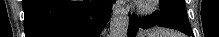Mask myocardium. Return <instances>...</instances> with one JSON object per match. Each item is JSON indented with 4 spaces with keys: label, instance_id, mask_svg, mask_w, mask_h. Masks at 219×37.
Masks as SVG:
<instances>
[{
    "label": "myocardium",
    "instance_id": "1",
    "mask_svg": "<svg viewBox=\"0 0 219 37\" xmlns=\"http://www.w3.org/2000/svg\"><path fill=\"white\" fill-rule=\"evenodd\" d=\"M156 1H153V0H147V1H143L140 6H139V10L140 12L142 13H147L149 12L152 8H153V4L155 3Z\"/></svg>",
    "mask_w": 219,
    "mask_h": 37
}]
</instances>
